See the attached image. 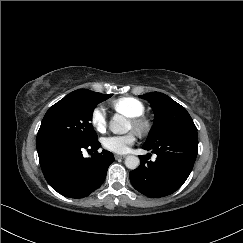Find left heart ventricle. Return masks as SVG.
Wrapping results in <instances>:
<instances>
[{
	"mask_svg": "<svg viewBox=\"0 0 243 243\" xmlns=\"http://www.w3.org/2000/svg\"><path fill=\"white\" fill-rule=\"evenodd\" d=\"M129 127L132 128V124L131 123H129Z\"/></svg>",
	"mask_w": 243,
	"mask_h": 243,
	"instance_id": "1",
	"label": "left heart ventricle"
}]
</instances>
